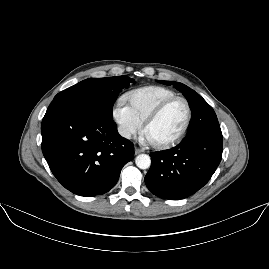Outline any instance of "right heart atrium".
Masks as SVG:
<instances>
[{
	"label": "right heart atrium",
	"instance_id": "d8ad5b80",
	"mask_svg": "<svg viewBox=\"0 0 269 269\" xmlns=\"http://www.w3.org/2000/svg\"><path fill=\"white\" fill-rule=\"evenodd\" d=\"M113 117L119 124L120 132L125 137L138 135L142 132V124L135 117L123 98H118L113 107Z\"/></svg>",
	"mask_w": 269,
	"mask_h": 269
}]
</instances>
